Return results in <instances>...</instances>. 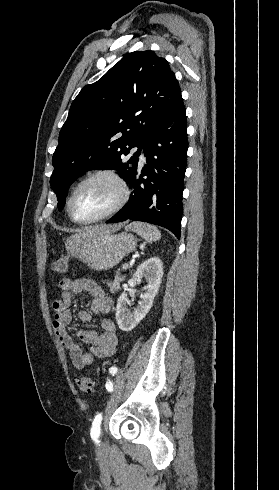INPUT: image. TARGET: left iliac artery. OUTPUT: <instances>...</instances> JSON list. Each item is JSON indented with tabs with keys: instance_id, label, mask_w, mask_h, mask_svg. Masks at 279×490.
Returning <instances> with one entry per match:
<instances>
[{
	"instance_id": "left-iliac-artery-1",
	"label": "left iliac artery",
	"mask_w": 279,
	"mask_h": 490,
	"mask_svg": "<svg viewBox=\"0 0 279 490\" xmlns=\"http://www.w3.org/2000/svg\"><path fill=\"white\" fill-rule=\"evenodd\" d=\"M110 373L111 374H115L117 373V368L115 367H111L110 369ZM106 389L108 391H113V384L111 381H108L106 383ZM101 421H102V415L101 414H97L94 418V421L92 423V428H91V438L95 441V443H99L100 441L98 440V437L100 435V425H101Z\"/></svg>"
}]
</instances>
